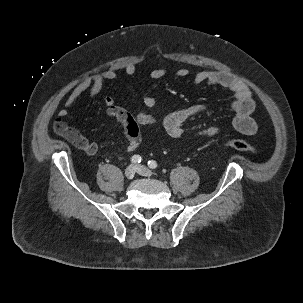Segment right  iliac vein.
Here are the masks:
<instances>
[{
    "label": "right iliac vein",
    "instance_id": "63e3f726",
    "mask_svg": "<svg viewBox=\"0 0 303 303\" xmlns=\"http://www.w3.org/2000/svg\"><path fill=\"white\" fill-rule=\"evenodd\" d=\"M135 172H136L135 167L133 165H130L125 169L124 174L126 178L132 179L135 176Z\"/></svg>",
    "mask_w": 303,
    "mask_h": 303
}]
</instances>
